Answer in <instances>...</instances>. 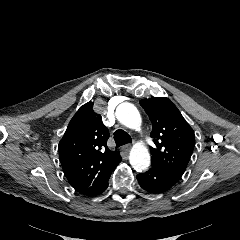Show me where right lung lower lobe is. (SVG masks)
<instances>
[{"label": "right lung lower lobe", "instance_id": "obj_1", "mask_svg": "<svg viewBox=\"0 0 240 240\" xmlns=\"http://www.w3.org/2000/svg\"><path fill=\"white\" fill-rule=\"evenodd\" d=\"M108 179L91 196H97L103 193L108 187Z\"/></svg>", "mask_w": 240, "mask_h": 240}]
</instances>
